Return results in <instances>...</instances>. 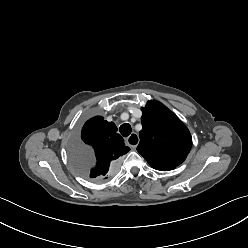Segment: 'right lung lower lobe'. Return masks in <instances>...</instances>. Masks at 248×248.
I'll return each mask as SVG.
<instances>
[{"mask_svg": "<svg viewBox=\"0 0 248 248\" xmlns=\"http://www.w3.org/2000/svg\"><path fill=\"white\" fill-rule=\"evenodd\" d=\"M116 168H117V164L113 166V168L109 171V173L104 178H100L97 181L104 180L110 177L116 171Z\"/></svg>", "mask_w": 248, "mask_h": 248, "instance_id": "right-lung-lower-lobe-1", "label": "right lung lower lobe"}]
</instances>
